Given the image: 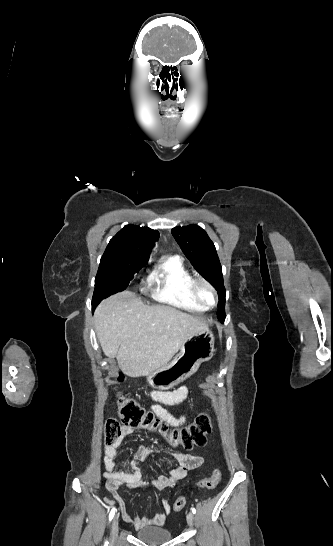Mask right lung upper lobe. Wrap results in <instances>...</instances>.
<instances>
[{
  "mask_svg": "<svg viewBox=\"0 0 333 546\" xmlns=\"http://www.w3.org/2000/svg\"><path fill=\"white\" fill-rule=\"evenodd\" d=\"M158 231L146 227L126 225L109 242L102 257L125 261L131 270H140L148 262Z\"/></svg>",
  "mask_w": 333,
  "mask_h": 546,
  "instance_id": "right-lung-upper-lobe-1",
  "label": "right lung upper lobe"
}]
</instances>
